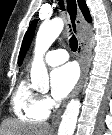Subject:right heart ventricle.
<instances>
[{
  "instance_id": "e07e8e85",
  "label": "right heart ventricle",
  "mask_w": 112,
  "mask_h": 135,
  "mask_svg": "<svg viewBox=\"0 0 112 135\" xmlns=\"http://www.w3.org/2000/svg\"><path fill=\"white\" fill-rule=\"evenodd\" d=\"M12 109L19 119L29 123L42 122L48 117L40 95L26 80H22L13 93Z\"/></svg>"
}]
</instances>
